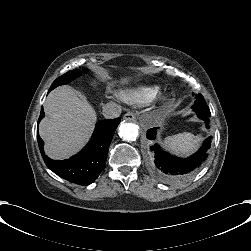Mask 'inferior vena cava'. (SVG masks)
<instances>
[{
	"label": "inferior vena cava",
	"instance_id": "obj_1",
	"mask_svg": "<svg viewBox=\"0 0 251 251\" xmlns=\"http://www.w3.org/2000/svg\"><path fill=\"white\" fill-rule=\"evenodd\" d=\"M121 113V107L118 103L109 102L103 105V114L106 118L118 117Z\"/></svg>",
	"mask_w": 251,
	"mask_h": 251
}]
</instances>
